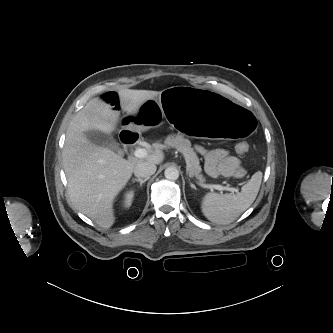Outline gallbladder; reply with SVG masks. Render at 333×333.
Returning <instances> with one entry per match:
<instances>
[{
  "label": "gallbladder",
  "mask_w": 333,
  "mask_h": 333,
  "mask_svg": "<svg viewBox=\"0 0 333 333\" xmlns=\"http://www.w3.org/2000/svg\"><path fill=\"white\" fill-rule=\"evenodd\" d=\"M85 134L92 143L109 148L118 154L123 153L120 144L111 135L98 130H90Z\"/></svg>",
  "instance_id": "bac80fb5"
}]
</instances>
